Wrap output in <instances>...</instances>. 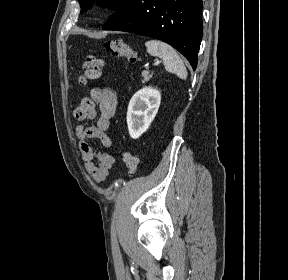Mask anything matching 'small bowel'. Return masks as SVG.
<instances>
[{
  "label": "small bowel",
  "mask_w": 288,
  "mask_h": 280,
  "mask_svg": "<svg viewBox=\"0 0 288 280\" xmlns=\"http://www.w3.org/2000/svg\"><path fill=\"white\" fill-rule=\"evenodd\" d=\"M96 106L99 107V117ZM116 112V94L110 89L98 88L93 89L89 96L83 97L74 110V118L79 122L97 119L96 125H78L76 128L85 169L96 182L104 181L115 164L114 155L107 151L114 145L107 132ZM91 139H98L103 149H95L90 142Z\"/></svg>",
  "instance_id": "small-bowel-1"
}]
</instances>
